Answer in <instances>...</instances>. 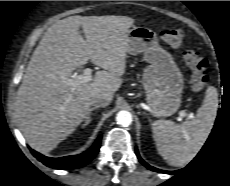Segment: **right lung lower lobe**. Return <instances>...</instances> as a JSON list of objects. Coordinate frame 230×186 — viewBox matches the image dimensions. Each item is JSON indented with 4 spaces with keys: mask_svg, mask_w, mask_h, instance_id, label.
Segmentation results:
<instances>
[{
    "mask_svg": "<svg viewBox=\"0 0 230 186\" xmlns=\"http://www.w3.org/2000/svg\"><path fill=\"white\" fill-rule=\"evenodd\" d=\"M101 136L98 137L94 145L86 152L79 155L66 156L61 158H49L31 149L32 154L43 164L54 169H75L88 164L98 153Z\"/></svg>",
    "mask_w": 230,
    "mask_h": 186,
    "instance_id": "98d812e1",
    "label": "right lung lower lobe"
}]
</instances>
